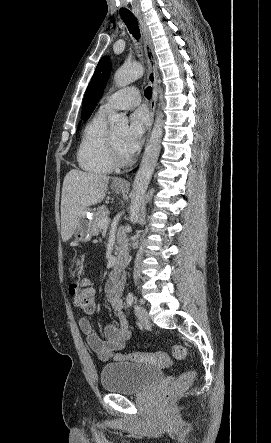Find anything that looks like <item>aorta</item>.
<instances>
[{"label": "aorta", "instance_id": "1", "mask_svg": "<svg viewBox=\"0 0 271 443\" xmlns=\"http://www.w3.org/2000/svg\"><path fill=\"white\" fill-rule=\"evenodd\" d=\"M143 74L144 68L143 66H140V64L122 66V68H119V70L115 72L114 82L118 88H123V86H129L131 82L141 78ZM158 84H160V80H158ZM158 94H160L161 104H163L162 90H159ZM162 118L163 114L162 112H159L158 118H156L153 130L151 132L150 140H148V144L145 148L140 168L133 182L132 192L130 194L131 206L129 216V220L132 223L137 222L139 218V212H141L144 196L159 158L163 136ZM109 122L110 128H112V130H116V132H121V130L128 128V118L125 116V114H112V116H109Z\"/></svg>", "mask_w": 271, "mask_h": 443}]
</instances>
